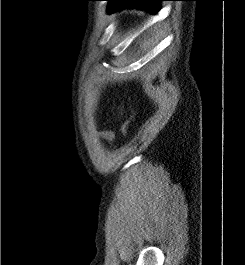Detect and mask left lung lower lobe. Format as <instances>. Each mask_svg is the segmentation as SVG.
<instances>
[{
	"label": "left lung lower lobe",
	"instance_id": "obj_1",
	"mask_svg": "<svg viewBox=\"0 0 245 265\" xmlns=\"http://www.w3.org/2000/svg\"><path fill=\"white\" fill-rule=\"evenodd\" d=\"M109 1L108 13H113L124 7H137L156 14L159 10L160 1L168 0H107Z\"/></svg>",
	"mask_w": 245,
	"mask_h": 265
}]
</instances>
